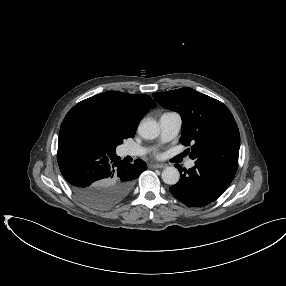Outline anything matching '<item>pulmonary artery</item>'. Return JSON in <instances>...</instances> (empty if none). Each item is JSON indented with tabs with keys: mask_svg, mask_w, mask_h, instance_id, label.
I'll list each match as a JSON object with an SVG mask.
<instances>
[{
	"mask_svg": "<svg viewBox=\"0 0 286 286\" xmlns=\"http://www.w3.org/2000/svg\"><path fill=\"white\" fill-rule=\"evenodd\" d=\"M160 124V140L167 142L173 139L180 131L182 126V118L177 112H166L163 113L159 119ZM146 152L144 148L136 146L124 147V154L130 156H141ZM194 166V162L189 160L187 167L191 168Z\"/></svg>",
	"mask_w": 286,
	"mask_h": 286,
	"instance_id": "pulmonary-artery-1",
	"label": "pulmonary artery"
}]
</instances>
